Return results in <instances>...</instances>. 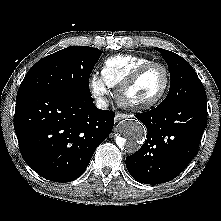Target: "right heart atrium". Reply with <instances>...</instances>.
<instances>
[{
    "label": "right heart atrium",
    "mask_w": 221,
    "mask_h": 221,
    "mask_svg": "<svg viewBox=\"0 0 221 221\" xmlns=\"http://www.w3.org/2000/svg\"><path fill=\"white\" fill-rule=\"evenodd\" d=\"M90 88L94 99L101 105L105 104L109 90L103 77L92 74L90 76Z\"/></svg>",
    "instance_id": "right-heart-atrium-1"
}]
</instances>
